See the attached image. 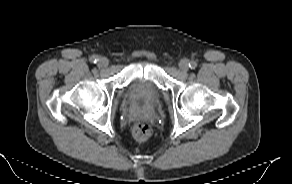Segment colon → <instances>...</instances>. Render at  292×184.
<instances>
[{"mask_svg": "<svg viewBox=\"0 0 292 184\" xmlns=\"http://www.w3.org/2000/svg\"><path fill=\"white\" fill-rule=\"evenodd\" d=\"M152 133V127L146 122H138L132 128V135L138 142L148 141Z\"/></svg>", "mask_w": 292, "mask_h": 184, "instance_id": "colon-1", "label": "colon"}]
</instances>
